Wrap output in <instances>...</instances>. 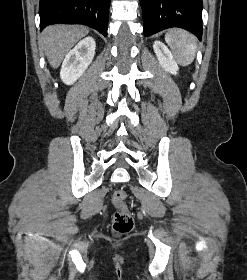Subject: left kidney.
Returning a JSON list of instances; mask_svg holds the SVG:
<instances>
[{
	"instance_id": "5707ae66",
	"label": "left kidney",
	"mask_w": 247,
	"mask_h": 280,
	"mask_svg": "<svg viewBox=\"0 0 247 280\" xmlns=\"http://www.w3.org/2000/svg\"><path fill=\"white\" fill-rule=\"evenodd\" d=\"M153 49L161 67L165 71L176 75L179 67L168 47L160 41H155Z\"/></svg>"
}]
</instances>
